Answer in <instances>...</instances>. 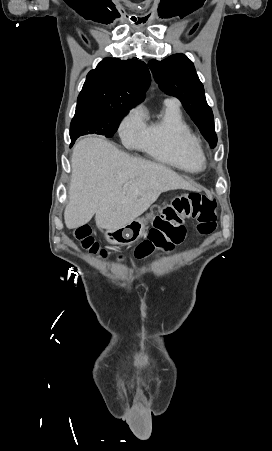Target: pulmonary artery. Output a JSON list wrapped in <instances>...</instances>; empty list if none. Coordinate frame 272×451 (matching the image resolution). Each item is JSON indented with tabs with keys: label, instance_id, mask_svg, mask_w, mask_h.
I'll list each match as a JSON object with an SVG mask.
<instances>
[{
	"label": "pulmonary artery",
	"instance_id": "1",
	"mask_svg": "<svg viewBox=\"0 0 272 451\" xmlns=\"http://www.w3.org/2000/svg\"><path fill=\"white\" fill-rule=\"evenodd\" d=\"M166 103H172V104H174L175 106H178V107H179V102H178V100H177V99H174V98L167 99V100H166Z\"/></svg>",
	"mask_w": 272,
	"mask_h": 451
}]
</instances>
